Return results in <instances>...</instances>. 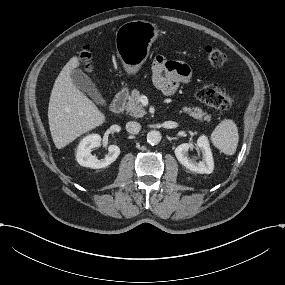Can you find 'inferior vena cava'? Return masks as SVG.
<instances>
[{"label": "inferior vena cava", "mask_w": 285, "mask_h": 285, "mask_svg": "<svg viewBox=\"0 0 285 285\" xmlns=\"http://www.w3.org/2000/svg\"><path fill=\"white\" fill-rule=\"evenodd\" d=\"M141 129V125L136 121H128L126 123V130L130 133L137 134Z\"/></svg>", "instance_id": "1"}]
</instances>
